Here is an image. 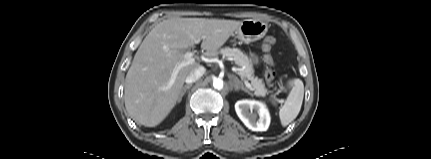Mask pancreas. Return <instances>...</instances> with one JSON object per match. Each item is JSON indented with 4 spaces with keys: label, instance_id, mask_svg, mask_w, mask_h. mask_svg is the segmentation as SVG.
<instances>
[{
    "label": "pancreas",
    "instance_id": "cf45deb5",
    "mask_svg": "<svg viewBox=\"0 0 431 159\" xmlns=\"http://www.w3.org/2000/svg\"><path fill=\"white\" fill-rule=\"evenodd\" d=\"M224 58H233L236 65L240 67L238 74L241 78H247L251 81V85L256 96L265 97L268 94L265 84L261 79L254 77V70L251 61L238 48L225 47L220 50Z\"/></svg>",
    "mask_w": 431,
    "mask_h": 159
}]
</instances>
